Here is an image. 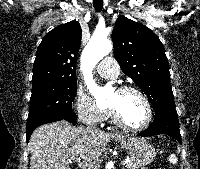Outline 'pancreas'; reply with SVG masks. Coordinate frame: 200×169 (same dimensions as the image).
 <instances>
[{
    "mask_svg": "<svg viewBox=\"0 0 200 169\" xmlns=\"http://www.w3.org/2000/svg\"><path fill=\"white\" fill-rule=\"evenodd\" d=\"M127 169H137L139 166L137 164H135L132 160H130L127 164H126Z\"/></svg>",
    "mask_w": 200,
    "mask_h": 169,
    "instance_id": "pancreas-1",
    "label": "pancreas"
}]
</instances>
